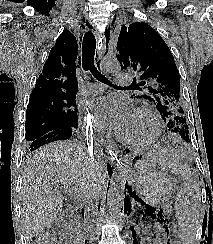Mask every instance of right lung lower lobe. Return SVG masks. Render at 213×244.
<instances>
[{"mask_svg": "<svg viewBox=\"0 0 213 244\" xmlns=\"http://www.w3.org/2000/svg\"><path fill=\"white\" fill-rule=\"evenodd\" d=\"M74 130L75 128H63V129L51 131L39 137L38 139L29 142L30 151H34L40 146H43L51 142H55L59 140H67L72 136ZM111 171L112 168L110 165H108V173L111 174Z\"/></svg>", "mask_w": 213, "mask_h": 244, "instance_id": "obj_1", "label": "right lung lower lobe"}]
</instances>
